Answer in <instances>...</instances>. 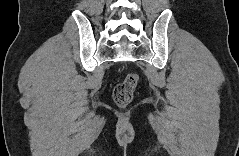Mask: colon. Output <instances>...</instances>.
<instances>
[{
    "instance_id": "obj_1",
    "label": "colon",
    "mask_w": 239,
    "mask_h": 156,
    "mask_svg": "<svg viewBox=\"0 0 239 156\" xmlns=\"http://www.w3.org/2000/svg\"><path fill=\"white\" fill-rule=\"evenodd\" d=\"M138 80V75L131 73L128 74L122 82L115 86L113 99L117 106L125 107L131 102Z\"/></svg>"
}]
</instances>
